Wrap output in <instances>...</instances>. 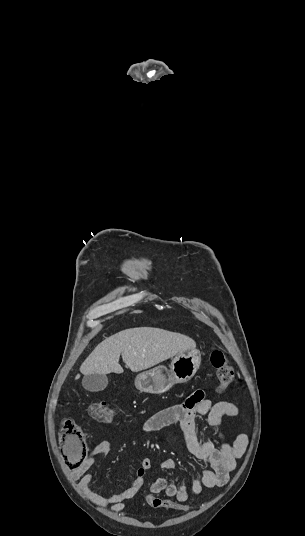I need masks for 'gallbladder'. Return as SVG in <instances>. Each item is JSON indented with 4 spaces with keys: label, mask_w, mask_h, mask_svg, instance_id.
I'll use <instances>...</instances> for the list:
<instances>
[{
    "label": "gallbladder",
    "mask_w": 305,
    "mask_h": 536,
    "mask_svg": "<svg viewBox=\"0 0 305 536\" xmlns=\"http://www.w3.org/2000/svg\"><path fill=\"white\" fill-rule=\"evenodd\" d=\"M82 386L89 392H101L107 388L108 378L105 374H90V376H84Z\"/></svg>",
    "instance_id": "gallbladder-1"
}]
</instances>
